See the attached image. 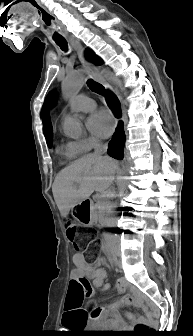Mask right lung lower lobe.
<instances>
[{"mask_svg":"<svg viewBox=\"0 0 193 336\" xmlns=\"http://www.w3.org/2000/svg\"><path fill=\"white\" fill-rule=\"evenodd\" d=\"M107 103L117 117H120V105L117 98L109 93L107 96ZM124 143H125V133L123 129V124L120 122L116 131L108 144V154L115 159H123L124 157Z\"/></svg>","mask_w":193,"mask_h":336,"instance_id":"right-lung-lower-lobe-1","label":"right lung lower lobe"}]
</instances>
